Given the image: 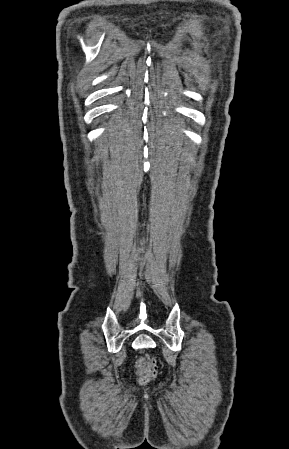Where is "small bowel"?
Masks as SVG:
<instances>
[{"mask_svg": "<svg viewBox=\"0 0 289 449\" xmlns=\"http://www.w3.org/2000/svg\"><path fill=\"white\" fill-rule=\"evenodd\" d=\"M146 365H147L146 357H139L136 360L134 367L139 375H141L143 373V371L146 368Z\"/></svg>", "mask_w": 289, "mask_h": 449, "instance_id": "c3829d8e", "label": "small bowel"}]
</instances>
